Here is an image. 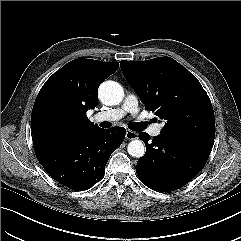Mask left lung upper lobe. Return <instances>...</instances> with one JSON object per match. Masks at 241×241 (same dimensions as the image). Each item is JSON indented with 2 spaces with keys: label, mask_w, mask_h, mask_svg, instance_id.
<instances>
[{
  "label": "left lung upper lobe",
  "mask_w": 241,
  "mask_h": 241,
  "mask_svg": "<svg viewBox=\"0 0 241 241\" xmlns=\"http://www.w3.org/2000/svg\"><path fill=\"white\" fill-rule=\"evenodd\" d=\"M130 86L147 109L165 120L161 133L213 144L215 118L200 82L170 57L120 61Z\"/></svg>",
  "instance_id": "left-lung-upper-lobe-1"
}]
</instances>
